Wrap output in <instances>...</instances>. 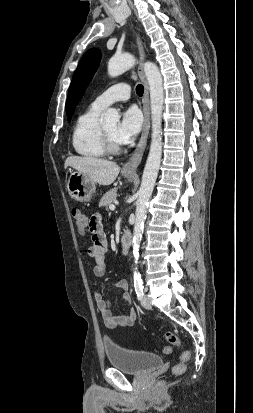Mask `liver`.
<instances>
[{"label": "liver", "mask_w": 253, "mask_h": 413, "mask_svg": "<svg viewBox=\"0 0 253 413\" xmlns=\"http://www.w3.org/2000/svg\"><path fill=\"white\" fill-rule=\"evenodd\" d=\"M69 166L104 186L112 184L120 171V167L115 162L90 156H70L64 164L65 168Z\"/></svg>", "instance_id": "1"}]
</instances>
